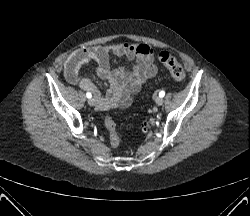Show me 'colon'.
I'll use <instances>...</instances> for the list:
<instances>
[{"instance_id":"colon-1","label":"colon","mask_w":250,"mask_h":216,"mask_svg":"<svg viewBox=\"0 0 250 216\" xmlns=\"http://www.w3.org/2000/svg\"><path fill=\"white\" fill-rule=\"evenodd\" d=\"M161 64L168 69L171 76L181 81L185 78V71L176 58L169 52L163 51L158 56ZM104 126L109 134V140L112 148H117L120 144V137L117 131L116 123L111 116L105 115L103 118ZM154 124L153 118L147 119L142 126L144 132H148Z\"/></svg>"}]
</instances>
